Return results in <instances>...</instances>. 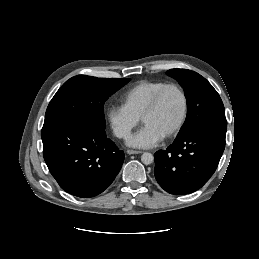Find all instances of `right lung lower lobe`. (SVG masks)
Here are the masks:
<instances>
[{"instance_id":"1","label":"right lung lower lobe","mask_w":259,"mask_h":259,"mask_svg":"<svg viewBox=\"0 0 259 259\" xmlns=\"http://www.w3.org/2000/svg\"><path fill=\"white\" fill-rule=\"evenodd\" d=\"M43 157L48 169L66 192L83 198L103 192L115 179L124 152L106 132L80 119L43 126Z\"/></svg>"}]
</instances>
